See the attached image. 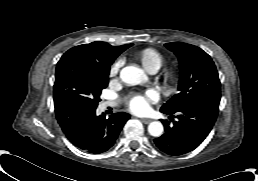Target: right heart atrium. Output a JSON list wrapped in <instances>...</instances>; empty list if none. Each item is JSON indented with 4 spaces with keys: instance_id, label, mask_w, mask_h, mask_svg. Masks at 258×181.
Returning <instances> with one entry per match:
<instances>
[{
    "instance_id": "d8ad5b80",
    "label": "right heart atrium",
    "mask_w": 258,
    "mask_h": 181,
    "mask_svg": "<svg viewBox=\"0 0 258 181\" xmlns=\"http://www.w3.org/2000/svg\"><path fill=\"white\" fill-rule=\"evenodd\" d=\"M123 63H124V61H123L122 59L116 60V61L112 64V66H111V68H110V75H111V76H116V75L119 73V71H120V69H121Z\"/></svg>"
}]
</instances>
